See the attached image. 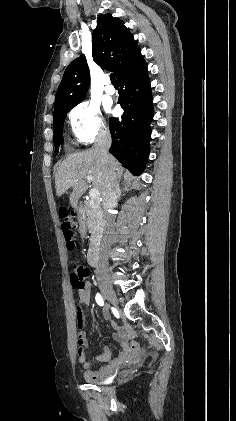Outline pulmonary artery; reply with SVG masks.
<instances>
[{
    "label": "pulmonary artery",
    "mask_w": 236,
    "mask_h": 421,
    "mask_svg": "<svg viewBox=\"0 0 236 421\" xmlns=\"http://www.w3.org/2000/svg\"><path fill=\"white\" fill-rule=\"evenodd\" d=\"M104 91L109 95H113L116 92L114 86H112L111 84H106L104 86Z\"/></svg>",
    "instance_id": "pulmonary-artery-1"
}]
</instances>
